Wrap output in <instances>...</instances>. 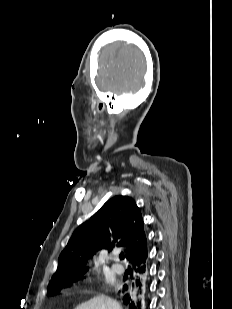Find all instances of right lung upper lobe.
Here are the masks:
<instances>
[{
	"mask_svg": "<svg viewBox=\"0 0 232 309\" xmlns=\"http://www.w3.org/2000/svg\"><path fill=\"white\" fill-rule=\"evenodd\" d=\"M124 247L132 264L147 253V239L140 208L127 196H115L73 232L61 252L48 286L77 281L87 271L86 262L100 249ZM54 296V295H51Z\"/></svg>",
	"mask_w": 232,
	"mask_h": 309,
	"instance_id": "right-lung-upper-lobe-1",
	"label": "right lung upper lobe"
}]
</instances>
